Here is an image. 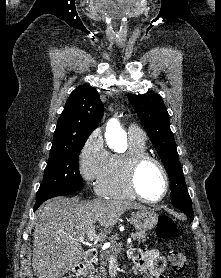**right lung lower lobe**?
Here are the masks:
<instances>
[{
	"label": "right lung lower lobe",
	"mask_w": 221,
	"mask_h": 278,
	"mask_svg": "<svg viewBox=\"0 0 221 278\" xmlns=\"http://www.w3.org/2000/svg\"><path fill=\"white\" fill-rule=\"evenodd\" d=\"M76 190H66V191H61V192H58V193H56L55 195H54V197L55 196H64V195H68V194H71V193H73V192H75ZM43 203V202H42ZM42 203H36L35 204V207H34V210H36L39 206H40V204H42Z\"/></svg>",
	"instance_id": "obj_1"
}]
</instances>
